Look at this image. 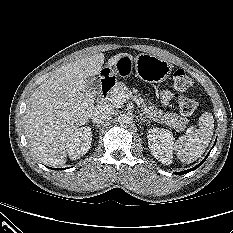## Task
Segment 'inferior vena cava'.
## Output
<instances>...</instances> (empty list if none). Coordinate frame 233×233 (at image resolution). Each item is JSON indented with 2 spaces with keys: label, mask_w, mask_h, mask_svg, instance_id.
I'll return each mask as SVG.
<instances>
[{
  "label": "inferior vena cava",
  "mask_w": 233,
  "mask_h": 233,
  "mask_svg": "<svg viewBox=\"0 0 233 233\" xmlns=\"http://www.w3.org/2000/svg\"><path fill=\"white\" fill-rule=\"evenodd\" d=\"M113 115V110L106 103H101L94 108L92 114V121L95 124H102L109 120Z\"/></svg>",
  "instance_id": "1"
}]
</instances>
